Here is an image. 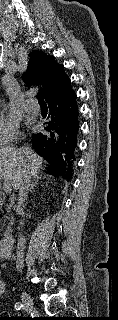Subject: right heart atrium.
<instances>
[{
  "label": "right heart atrium",
  "instance_id": "right-heart-atrium-1",
  "mask_svg": "<svg viewBox=\"0 0 118 320\" xmlns=\"http://www.w3.org/2000/svg\"><path fill=\"white\" fill-rule=\"evenodd\" d=\"M19 138L18 125L0 118V147L7 146Z\"/></svg>",
  "mask_w": 118,
  "mask_h": 320
}]
</instances>
